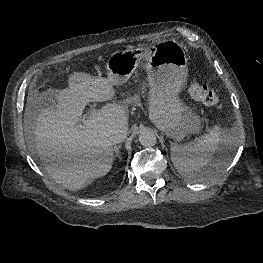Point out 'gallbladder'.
<instances>
[{
	"label": "gallbladder",
	"mask_w": 263,
	"mask_h": 263,
	"mask_svg": "<svg viewBox=\"0 0 263 263\" xmlns=\"http://www.w3.org/2000/svg\"><path fill=\"white\" fill-rule=\"evenodd\" d=\"M41 107L55 109L57 107V101L55 99V96L51 93L44 95L41 100Z\"/></svg>",
	"instance_id": "obj_1"
}]
</instances>
